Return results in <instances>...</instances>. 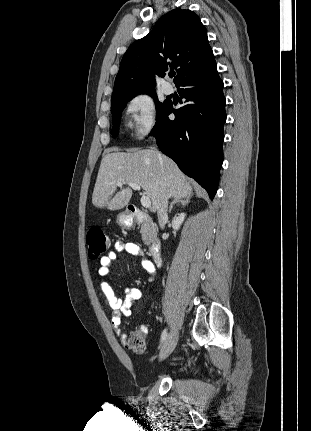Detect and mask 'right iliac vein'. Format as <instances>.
<instances>
[{
    "label": "right iliac vein",
    "mask_w": 311,
    "mask_h": 431,
    "mask_svg": "<svg viewBox=\"0 0 311 431\" xmlns=\"http://www.w3.org/2000/svg\"><path fill=\"white\" fill-rule=\"evenodd\" d=\"M178 336L179 334H178L177 328H173L161 349V352L159 355L160 360H164L172 353V351L174 350L177 344Z\"/></svg>",
    "instance_id": "right-iliac-vein-1"
}]
</instances>
